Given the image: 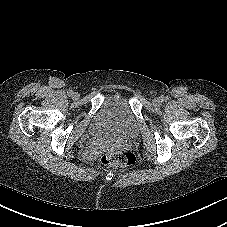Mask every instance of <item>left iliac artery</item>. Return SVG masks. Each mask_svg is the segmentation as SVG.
I'll return each mask as SVG.
<instances>
[{"mask_svg":"<svg viewBox=\"0 0 227 227\" xmlns=\"http://www.w3.org/2000/svg\"><path fill=\"white\" fill-rule=\"evenodd\" d=\"M167 99L165 97H161V101H166Z\"/></svg>","mask_w":227,"mask_h":227,"instance_id":"obj_1","label":"left iliac artery"}]
</instances>
